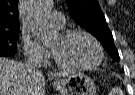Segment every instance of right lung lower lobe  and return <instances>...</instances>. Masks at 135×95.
Returning <instances> with one entry per match:
<instances>
[{
  "instance_id": "right-lung-lower-lobe-1",
  "label": "right lung lower lobe",
  "mask_w": 135,
  "mask_h": 95,
  "mask_svg": "<svg viewBox=\"0 0 135 95\" xmlns=\"http://www.w3.org/2000/svg\"><path fill=\"white\" fill-rule=\"evenodd\" d=\"M14 55H15V53H13V54H8V55L0 54V56H2V57H8V56H14Z\"/></svg>"
}]
</instances>
